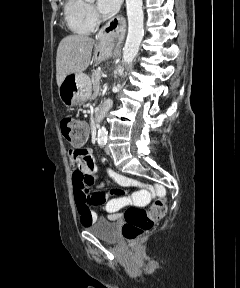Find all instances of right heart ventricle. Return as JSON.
Returning a JSON list of instances; mask_svg holds the SVG:
<instances>
[{
  "label": "right heart ventricle",
  "instance_id": "1",
  "mask_svg": "<svg viewBox=\"0 0 240 288\" xmlns=\"http://www.w3.org/2000/svg\"><path fill=\"white\" fill-rule=\"evenodd\" d=\"M64 15L68 28L75 34L88 35L94 29V19L87 0H66Z\"/></svg>",
  "mask_w": 240,
  "mask_h": 288
}]
</instances>
